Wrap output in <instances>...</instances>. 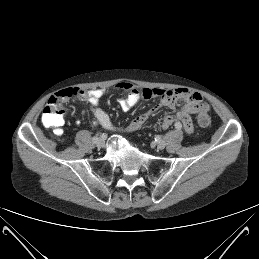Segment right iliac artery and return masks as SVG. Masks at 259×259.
Instances as JSON below:
<instances>
[{
	"instance_id": "right-iliac-artery-1",
	"label": "right iliac artery",
	"mask_w": 259,
	"mask_h": 259,
	"mask_svg": "<svg viewBox=\"0 0 259 259\" xmlns=\"http://www.w3.org/2000/svg\"><path fill=\"white\" fill-rule=\"evenodd\" d=\"M101 137H102V138H104V137H105V135H104V134H102V135H101ZM92 140H93V142H95V143H96V142H98V140H99V139H98V137H96V136H95V137H93V138H92Z\"/></svg>"
}]
</instances>
